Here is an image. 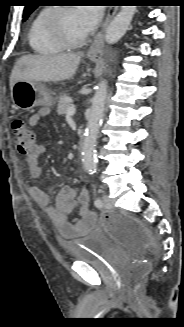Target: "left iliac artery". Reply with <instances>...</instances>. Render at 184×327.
<instances>
[{"label":"left iliac artery","instance_id":"obj_1","mask_svg":"<svg viewBox=\"0 0 184 327\" xmlns=\"http://www.w3.org/2000/svg\"><path fill=\"white\" fill-rule=\"evenodd\" d=\"M94 204H95L96 207H102L103 202H102V200L100 198H97L95 200Z\"/></svg>","mask_w":184,"mask_h":327}]
</instances>
